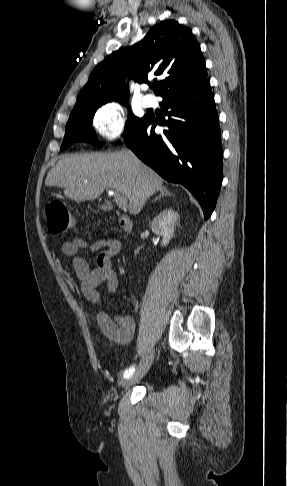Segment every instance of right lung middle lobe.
Masks as SVG:
<instances>
[{
    "label": "right lung middle lobe",
    "mask_w": 287,
    "mask_h": 486,
    "mask_svg": "<svg viewBox=\"0 0 287 486\" xmlns=\"http://www.w3.org/2000/svg\"><path fill=\"white\" fill-rule=\"evenodd\" d=\"M122 104H126L127 99L119 100ZM105 103L91 106L83 111L71 113L66 125L65 136L61 145V150L66 149L76 141L91 142L96 144V140L92 137L94 135L91 126L93 116L96 110ZM146 116V115H145ZM142 118L134 116L129 110L128 121L126 123L123 137L126 139L137 127L144 121Z\"/></svg>",
    "instance_id": "obj_1"
}]
</instances>
